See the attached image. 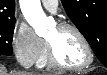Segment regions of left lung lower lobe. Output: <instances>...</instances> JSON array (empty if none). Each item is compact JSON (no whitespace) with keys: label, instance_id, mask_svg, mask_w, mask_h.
Instances as JSON below:
<instances>
[{"label":"left lung lower lobe","instance_id":"obj_1","mask_svg":"<svg viewBox=\"0 0 107 75\" xmlns=\"http://www.w3.org/2000/svg\"><path fill=\"white\" fill-rule=\"evenodd\" d=\"M105 55H106L105 50L100 49V50L97 52V55H96V56L98 57V59H99L102 63H105V61H104Z\"/></svg>","mask_w":107,"mask_h":75}]
</instances>
